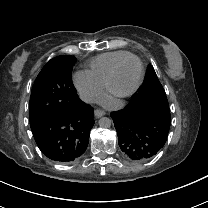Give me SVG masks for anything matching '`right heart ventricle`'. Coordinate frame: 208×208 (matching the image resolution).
Wrapping results in <instances>:
<instances>
[{
    "instance_id": "right-heart-ventricle-1",
    "label": "right heart ventricle",
    "mask_w": 208,
    "mask_h": 208,
    "mask_svg": "<svg viewBox=\"0 0 208 208\" xmlns=\"http://www.w3.org/2000/svg\"><path fill=\"white\" fill-rule=\"evenodd\" d=\"M128 54L129 51L119 50L98 55L90 61L87 73L103 88L115 63Z\"/></svg>"
}]
</instances>
